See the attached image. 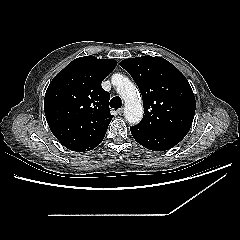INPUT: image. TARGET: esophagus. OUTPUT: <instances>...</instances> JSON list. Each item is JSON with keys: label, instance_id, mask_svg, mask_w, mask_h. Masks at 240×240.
Segmentation results:
<instances>
[{"label": "esophagus", "instance_id": "obj_1", "mask_svg": "<svg viewBox=\"0 0 240 240\" xmlns=\"http://www.w3.org/2000/svg\"><path fill=\"white\" fill-rule=\"evenodd\" d=\"M117 113H118L119 115H122V114H123V108L118 109V110H117Z\"/></svg>", "mask_w": 240, "mask_h": 240}]
</instances>
